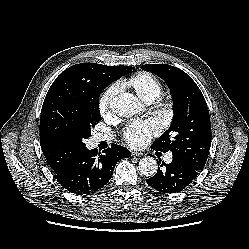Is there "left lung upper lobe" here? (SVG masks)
<instances>
[{
	"instance_id": "left-lung-upper-lobe-1",
	"label": "left lung upper lobe",
	"mask_w": 249,
	"mask_h": 249,
	"mask_svg": "<svg viewBox=\"0 0 249 249\" xmlns=\"http://www.w3.org/2000/svg\"><path fill=\"white\" fill-rule=\"evenodd\" d=\"M142 69L158 75L168 85L173 99L174 116L169 129L152 147L171 151L174 157L202 171L211 146L209 111L202 92L181 69L168 64H146Z\"/></svg>"
}]
</instances>
